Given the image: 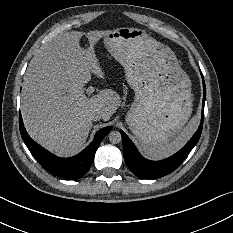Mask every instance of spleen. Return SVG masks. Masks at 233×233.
<instances>
[{
  "mask_svg": "<svg viewBox=\"0 0 233 233\" xmlns=\"http://www.w3.org/2000/svg\"><path fill=\"white\" fill-rule=\"evenodd\" d=\"M196 123L197 117L194 116L173 141L159 147H143L144 154L152 159H162L174 154L190 139Z\"/></svg>",
  "mask_w": 233,
  "mask_h": 233,
  "instance_id": "3e777b00",
  "label": "spleen"
}]
</instances>
